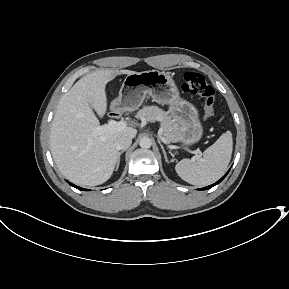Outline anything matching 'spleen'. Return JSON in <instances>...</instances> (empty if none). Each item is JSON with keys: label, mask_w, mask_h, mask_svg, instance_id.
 <instances>
[{"label": "spleen", "mask_w": 289, "mask_h": 289, "mask_svg": "<svg viewBox=\"0 0 289 289\" xmlns=\"http://www.w3.org/2000/svg\"><path fill=\"white\" fill-rule=\"evenodd\" d=\"M232 150V134L227 131L204 151L203 158L197 161L183 159L177 163L175 170L180 178L189 184L209 185L224 174L231 160Z\"/></svg>", "instance_id": "obj_1"}]
</instances>
